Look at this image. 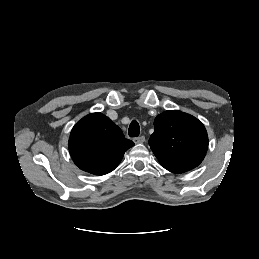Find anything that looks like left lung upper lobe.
<instances>
[{
    "label": "left lung upper lobe",
    "mask_w": 259,
    "mask_h": 259,
    "mask_svg": "<svg viewBox=\"0 0 259 259\" xmlns=\"http://www.w3.org/2000/svg\"><path fill=\"white\" fill-rule=\"evenodd\" d=\"M149 145L162 166L193 169L205 157L208 135L204 125L192 115L165 111L154 120Z\"/></svg>",
    "instance_id": "1"
}]
</instances>
